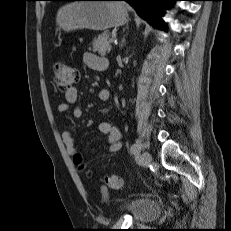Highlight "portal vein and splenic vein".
Returning a JSON list of instances; mask_svg holds the SVG:
<instances>
[{
    "instance_id": "obj_1",
    "label": "portal vein and splenic vein",
    "mask_w": 231,
    "mask_h": 231,
    "mask_svg": "<svg viewBox=\"0 0 231 231\" xmlns=\"http://www.w3.org/2000/svg\"><path fill=\"white\" fill-rule=\"evenodd\" d=\"M109 42H110V43H113V42H115V39H114V38H111V39H109Z\"/></svg>"
}]
</instances>
